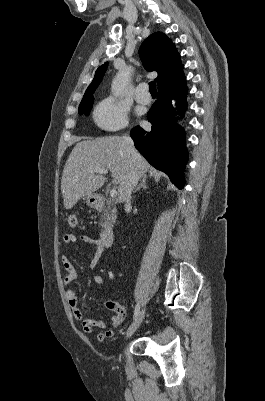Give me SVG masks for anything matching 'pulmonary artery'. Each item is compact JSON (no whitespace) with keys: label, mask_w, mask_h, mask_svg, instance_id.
I'll return each mask as SVG.
<instances>
[{"label":"pulmonary artery","mask_w":265,"mask_h":401,"mask_svg":"<svg viewBox=\"0 0 265 401\" xmlns=\"http://www.w3.org/2000/svg\"><path fill=\"white\" fill-rule=\"evenodd\" d=\"M145 83H140L135 92V99L144 104H149L151 102V96L148 94Z\"/></svg>","instance_id":"e3ab8cb5"}]
</instances>
